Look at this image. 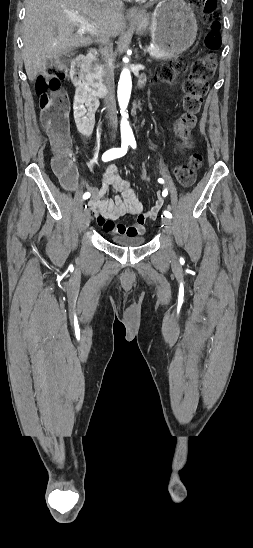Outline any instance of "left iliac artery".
<instances>
[{"label": "left iliac artery", "mask_w": 253, "mask_h": 548, "mask_svg": "<svg viewBox=\"0 0 253 548\" xmlns=\"http://www.w3.org/2000/svg\"><path fill=\"white\" fill-rule=\"evenodd\" d=\"M129 144L131 145V147H132L133 149L136 148V141H135L134 139H130V140H129ZM158 182L163 184V183H164V180H163L162 178H159V179H158ZM167 194H168V191L165 189V190L163 191V196H166ZM163 214H164V216L167 217V218H172V214H171L169 211H164Z\"/></svg>", "instance_id": "obj_1"}]
</instances>
